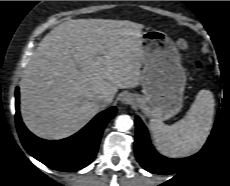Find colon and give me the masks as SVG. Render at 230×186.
<instances>
[{"mask_svg": "<svg viewBox=\"0 0 230 186\" xmlns=\"http://www.w3.org/2000/svg\"><path fill=\"white\" fill-rule=\"evenodd\" d=\"M178 45H179V47H180L181 49H184V50H186V49L188 48V43H187L185 40H180V41L178 42ZM195 66H196V68H197L198 70L202 68V64H201L200 62H197V63L195 64Z\"/></svg>", "mask_w": 230, "mask_h": 186, "instance_id": "obj_1", "label": "colon"}]
</instances>
